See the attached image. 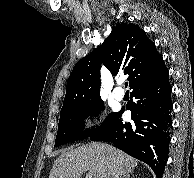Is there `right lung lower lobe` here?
<instances>
[{
    "instance_id": "right-lung-lower-lobe-1",
    "label": "right lung lower lobe",
    "mask_w": 194,
    "mask_h": 178,
    "mask_svg": "<svg viewBox=\"0 0 194 178\" xmlns=\"http://www.w3.org/2000/svg\"><path fill=\"white\" fill-rule=\"evenodd\" d=\"M135 102L127 104L132 123H123L124 108L111 116L93 134L94 141H109L134 158L147 163L162 178L169 153V128L172 124L171 86L168 70L133 88Z\"/></svg>"
}]
</instances>
